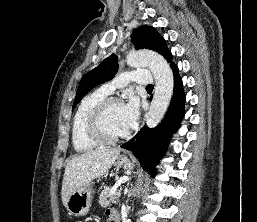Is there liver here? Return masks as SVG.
I'll use <instances>...</instances> for the list:
<instances>
[{
    "label": "liver",
    "instance_id": "6515ba94",
    "mask_svg": "<svg viewBox=\"0 0 257 222\" xmlns=\"http://www.w3.org/2000/svg\"><path fill=\"white\" fill-rule=\"evenodd\" d=\"M119 154L120 149H96L67 161L61 190L63 205L66 207L71 193L107 173Z\"/></svg>",
    "mask_w": 257,
    "mask_h": 222
}]
</instances>
